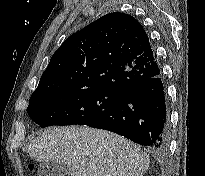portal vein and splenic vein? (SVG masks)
Returning a JSON list of instances; mask_svg holds the SVG:
<instances>
[{"label": "portal vein and splenic vein", "instance_id": "1", "mask_svg": "<svg viewBox=\"0 0 205 176\" xmlns=\"http://www.w3.org/2000/svg\"><path fill=\"white\" fill-rule=\"evenodd\" d=\"M84 164H85V162H84V161H82V162H81V165H84Z\"/></svg>", "mask_w": 205, "mask_h": 176}]
</instances>
